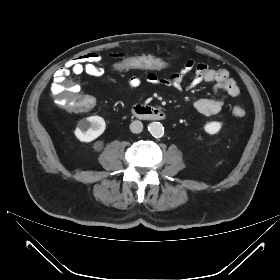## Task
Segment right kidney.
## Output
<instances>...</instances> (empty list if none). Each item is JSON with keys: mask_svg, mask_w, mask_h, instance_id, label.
I'll use <instances>...</instances> for the list:
<instances>
[{"mask_svg": "<svg viewBox=\"0 0 280 280\" xmlns=\"http://www.w3.org/2000/svg\"><path fill=\"white\" fill-rule=\"evenodd\" d=\"M105 128L106 123L102 117L90 116L78 123L74 134L81 142H91L99 137Z\"/></svg>", "mask_w": 280, "mask_h": 280, "instance_id": "right-kidney-1", "label": "right kidney"}]
</instances>
